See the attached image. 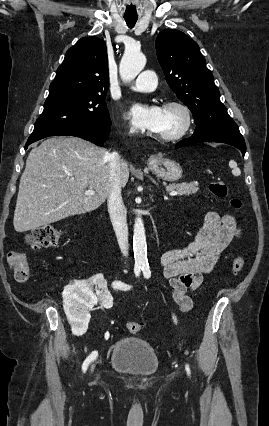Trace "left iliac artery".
<instances>
[{"label": "left iliac artery", "instance_id": "obj_1", "mask_svg": "<svg viewBox=\"0 0 269 426\" xmlns=\"http://www.w3.org/2000/svg\"><path fill=\"white\" fill-rule=\"evenodd\" d=\"M142 271H143V274H144L145 278H149L151 276V272L149 270V267L142 268ZM173 320H174L175 323H177V319H176L175 316H173ZM185 369H186V372H187L188 376H190L191 371H190V367H189L188 364H186Z\"/></svg>", "mask_w": 269, "mask_h": 426}]
</instances>
